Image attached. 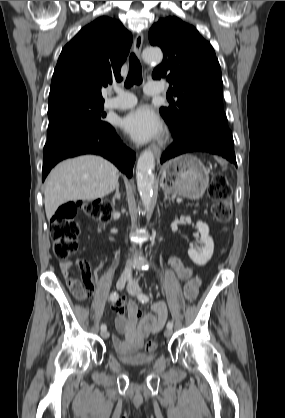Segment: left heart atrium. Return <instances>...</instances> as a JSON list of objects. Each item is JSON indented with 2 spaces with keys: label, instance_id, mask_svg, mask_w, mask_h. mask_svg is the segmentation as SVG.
Returning <instances> with one entry per match:
<instances>
[{
  "label": "left heart atrium",
  "instance_id": "obj_1",
  "mask_svg": "<svg viewBox=\"0 0 285 418\" xmlns=\"http://www.w3.org/2000/svg\"><path fill=\"white\" fill-rule=\"evenodd\" d=\"M122 126L126 134L137 143L156 138L163 130L160 117L148 106L131 110L123 119Z\"/></svg>",
  "mask_w": 285,
  "mask_h": 418
}]
</instances>
